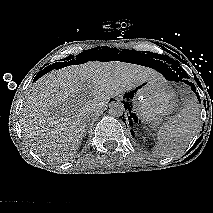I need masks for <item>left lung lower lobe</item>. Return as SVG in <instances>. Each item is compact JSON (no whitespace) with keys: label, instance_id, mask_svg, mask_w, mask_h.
<instances>
[{"label":"left lung lower lobe","instance_id":"left-lung-lower-lobe-1","mask_svg":"<svg viewBox=\"0 0 213 213\" xmlns=\"http://www.w3.org/2000/svg\"><path fill=\"white\" fill-rule=\"evenodd\" d=\"M177 80H179V78H177L175 81H177ZM182 80V79H181ZM188 85H190L191 86V89L196 93V91H195V86H194V84H192V83H189L188 81H185ZM196 95H197V93H196ZM197 98H198V100L200 101V97H199V95H197ZM124 103V102H123ZM126 109V108H125ZM123 115H124V113H123Z\"/></svg>","mask_w":213,"mask_h":213}]
</instances>
